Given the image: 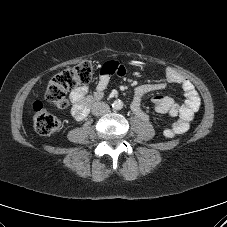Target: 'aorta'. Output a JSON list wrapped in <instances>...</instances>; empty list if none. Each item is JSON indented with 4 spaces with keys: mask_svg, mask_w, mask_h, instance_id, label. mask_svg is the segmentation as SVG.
I'll return each instance as SVG.
<instances>
[{
    "mask_svg": "<svg viewBox=\"0 0 227 227\" xmlns=\"http://www.w3.org/2000/svg\"><path fill=\"white\" fill-rule=\"evenodd\" d=\"M112 107L116 110H120L123 108V102L121 100H115L112 104Z\"/></svg>",
    "mask_w": 227,
    "mask_h": 227,
    "instance_id": "762f6f07",
    "label": "aorta"
}]
</instances>
